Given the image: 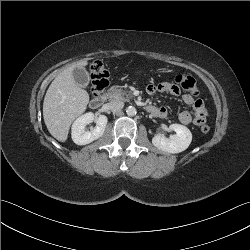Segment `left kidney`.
Masks as SVG:
<instances>
[{
  "instance_id": "1",
  "label": "left kidney",
  "mask_w": 250,
  "mask_h": 250,
  "mask_svg": "<svg viewBox=\"0 0 250 250\" xmlns=\"http://www.w3.org/2000/svg\"><path fill=\"white\" fill-rule=\"evenodd\" d=\"M169 128L176 132V134L170 136L169 138L157 134L152 138V144L158 149L167 153H180L186 150L191 141L192 134L190 130L180 124H171Z\"/></svg>"
}]
</instances>
